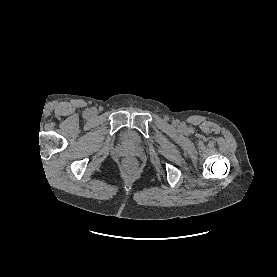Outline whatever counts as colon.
Wrapping results in <instances>:
<instances>
[{
  "label": "colon",
  "instance_id": "5ec220e1",
  "mask_svg": "<svg viewBox=\"0 0 277 277\" xmlns=\"http://www.w3.org/2000/svg\"><path fill=\"white\" fill-rule=\"evenodd\" d=\"M123 165L129 171H134L136 168V162L132 158H127Z\"/></svg>",
  "mask_w": 277,
  "mask_h": 277
}]
</instances>
